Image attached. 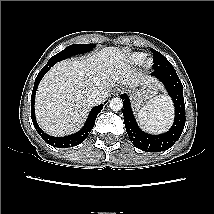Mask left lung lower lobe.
Wrapping results in <instances>:
<instances>
[{
  "mask_svg": "<svg viewBox=\"0 0 214 214\" xmlns=\"http://www.w3.org/2000/svg\"><path fill=\"white\" fill-rule=\"evenodd\" d=\"M165 86L169 96L172 98L175 107V120L166 133L152 135L143 132L134 118L129 96L122 94L123 116L127 134L131 142L143 151L159 152L171 148L180 138L185 125V104L183 98V85L175 70H154L151 73Z\"/></svg>",
  "mask_w": 214,
  "mask_h": 214,
  "instance_id": "left-lung-lower-lobe-1",
  "label": "left lung lower lobe"
}]
</instances>
